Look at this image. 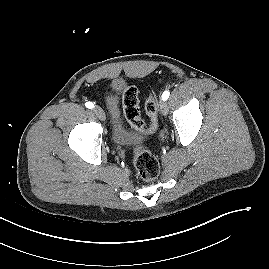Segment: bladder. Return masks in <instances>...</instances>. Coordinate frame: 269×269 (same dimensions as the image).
<instances>
[{
  "label": "bladder",
  "mask_w": 269,
  "mask_h": 269,
  "mask_svg": "<svg viewBox=\"0 0 269 269\" xmlns=\"http://www.w3.org/2000/svg\"><path fill=\"white\" fill-rule=\"evenodd\" d=\"M121 88L122 84L120 82L113 81L107 87L104 95L105 104L112 119V140L114 143L121 146L136 145L141 142V136L137 132L129 129L120 117L119 93Z\"/></svg>",
  "instance_id": "31cf9c89"
}]
</instances>
